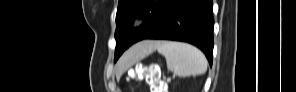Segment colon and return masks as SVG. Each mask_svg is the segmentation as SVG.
<instances>
[{
    "label": "colon",
    "mask_w": 296,
    "mask_h": 92,
    "mask_svg": "<svg viewBox=\"0 0 296 92\" xmlns=\"http://www.w3.org/2000/svg\"><path fill=\"white\" fill-rule=\"evenodd\" d=\"M133 77L139 79L144 78L152 86L159 87L161 84L159 77V67L157 65L136 67ZM153 91L156 90L154 89Z\"/></svg>",
    "instance_id": "obj_1"
}]
</instances>
